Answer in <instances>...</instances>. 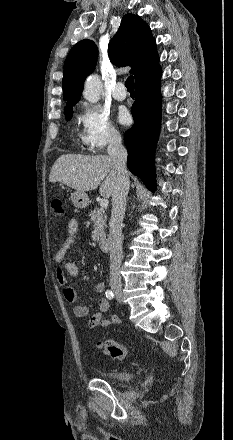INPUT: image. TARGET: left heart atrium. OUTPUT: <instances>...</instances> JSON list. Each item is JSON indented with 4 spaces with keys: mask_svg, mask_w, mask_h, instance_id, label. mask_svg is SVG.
Segmentation results:
<instances>
[{
    "mask_svg": "<svg viewBox=\"0 0 233 440\" xmlns=\"http://www.w3.org/2000/svg\"><path fill=\"white\" fill-rule=\"evenodd\" d=\"M118 120L121 124H127L130 121V115L126 109L119 110Z\"/></svg>",
    "mask_w": 233,
    "mask_h": 440,
    "instance_id": "obj_1",
    "label": "left heart atrium"
}]
</instances>
